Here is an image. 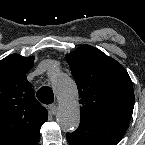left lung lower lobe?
Segmentation results:
<instances>
[{
    "mask_svg": "<svg viewBox=\"0 0 145 145\" xmlns=\"http://www.w3.org/2000/svg\"><path fill=\"white\" fill-rule=\"evenodd\" d=\"M129 123L115 121H80L79 128L67 134L70 145H116Z\"/></svg>",
    "mask_w": 145,
    "mask_h": 145,
    "instance_id": "0a47b994",
    "label": "left lung lower lobe"
}]
</instances>
